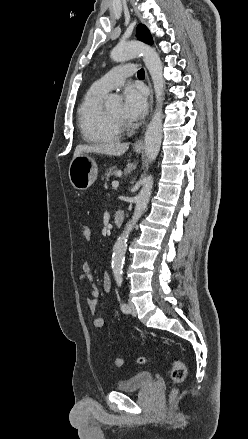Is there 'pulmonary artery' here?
Masks as SVG:
<instances>
[{
    "mask_svg": "<svg viewBox=\"0 0 248 439\" xmlns=\"http://www.w3.org/2000/svg\"><path fill=\"white\" fill-rule=\"evenodd\" d=\"M134 73L135 68L132 64L118 66L95 81L91 89L96 93L106 94L111 89L122 85L124 80Z\"/></svg>",
    "mask_w": 248,
    "mask_h": 439,
    "instance_id": "1",
    "label": "pulmonary artery"
}]
</instances>
